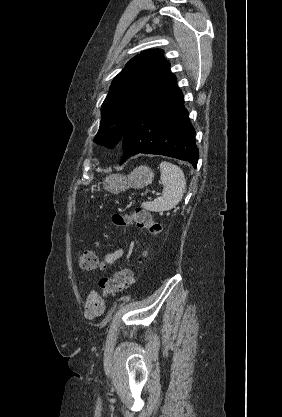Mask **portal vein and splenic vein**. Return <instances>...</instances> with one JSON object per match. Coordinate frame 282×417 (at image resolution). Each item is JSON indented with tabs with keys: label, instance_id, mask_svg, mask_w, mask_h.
<instances>
[{
	"label": "portal vein and splenic vein",
	"instance_id": "18ae733b",
	"mask_svg": "<svg viewBox=\"0 0 282 417\" xmlns=\"http://www.w3.org/2000/svg\"><path fill=\"white\" fill-rule=\"evenodd\" d=\"M161 193L160 192H154L151 195H148L145 197L146 201H150L151 199H155L156 197H160Z\"/></svg>",
	"mask_w": 282,
	"mask_h": 417
}]
</instances>
